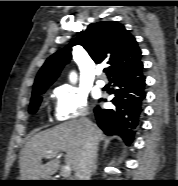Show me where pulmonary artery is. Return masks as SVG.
<instances>
[{
  "label": "pulmonary artery",
  "mask_w": 178,
  "mask_h": 186,
  "mask_svg": "<svg viewBox=\"0 0 178 186\" xmlns=\"http://www.w3.org/2000/svg\"><path fill=\"white\" fill-rule=\"evenodd\" d=\"M100 72L98 73V76H100ZM97 85L99 87H104L105 86V81L102 79V78H99L97 81H96Z\"/></svg>",
  "instance_id": "1"
}]
</instances>
